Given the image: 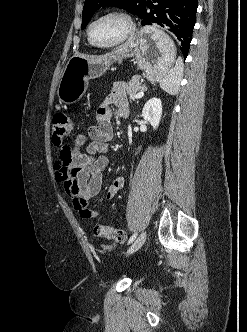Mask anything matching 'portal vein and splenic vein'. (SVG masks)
I'll use <instances>...</instances> for the list:
<instances>
[{
	"label": "portal vein and splenic vein",
	"mask_w": 247,
	"mask_h": 332,
	"mask_svg": "<svg viewBox=\"0 0 247 332\" xmlns=\"http://www.w3.org/2000/svg\"><path fill=\"white\" fill-rule=\"evenodd\" d=\"M143 96H144V92L141 91V92H139V93H137V94L135 95V98H136V99H139V98H142Z\"/></svg>",
	"instance_id": "obj_1"
}]
</instances>
